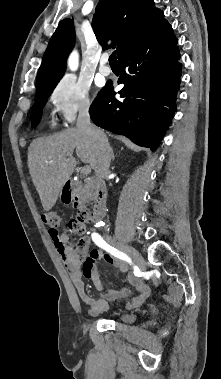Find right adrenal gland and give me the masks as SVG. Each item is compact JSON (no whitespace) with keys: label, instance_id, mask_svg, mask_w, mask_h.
Listing matches in <instances>:
<instances>
[{"label":"right adrenal gland","instance_id":"right-adrenal-gland-1","mask_svg":"<svg viewBox=\"0 0 221 379\" xmlns=\"http://www.w3.org/2000/svg\"><path fill=\"white\" fill-rule=\"evenodd\" d=\"M111 159H112V161L115 160V155H114V152H113L112 148H111Z\"/></svg>","mask_w":221,"mask_h":379}]
</instances>
